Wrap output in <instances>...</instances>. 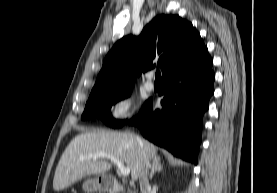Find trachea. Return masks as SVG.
<instances>
[{
  "label": "trachea",
  "instance_id": "trachea-1",
  "mask_svg": "<svg viewBox=\"0 0 277 193\" xmlns=\"http://www.w3.org/2000/svg\"><path fill=\"white\" fill-rule=\"evenodd\" d=\"M155 79H156V81H161V74L159 71L156 72Z\"/></svg>",
  "mask_w": 277,
  "mask_h": 193
}]
</instances>
